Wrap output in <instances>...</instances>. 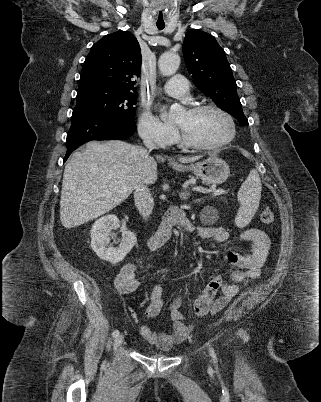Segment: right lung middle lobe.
Masks as SVG:
<instances>
[{
	"label": "right lung middle lobe",
	"instance_id": "dd1d6c3e",
	"mask_svg": "<svg viewBox=\"0 0 321 402\" xmlns=\"http://www.w3.org/2000/svg\"><path fill=\"white\" fill-rule=\"evenodd\" d=\"M136 93L102 86H81L76 96L72 119L95 117L134 120Z\"/></svg>",
	"mask_w": 321,
	"mask_h": 402
}]
</instances>
